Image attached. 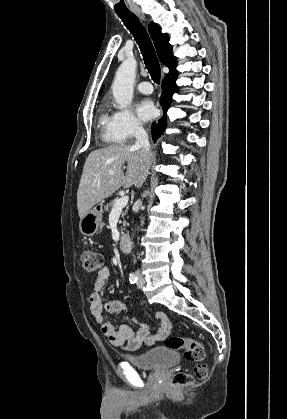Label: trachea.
Instances as JSON below:
<instances>
[{
    "mask_svg": "<svg viewBox=\"0 0 287 419\" xmlns=\"http://www.w3.org/2000/svg\"><path fill=\"white\" fill-rule=\"evenodd\" d=\"M118 16L139 45L146 68L150 73L152 80L159 84L161 78L160 65L145 27L141 24L135 14H118Z\"/></svg>",
    "mask_w": 287,
    "mask_h": 419,
    "instance_id": "3493384b",
    "label": "trachea"
}]
</instances>
